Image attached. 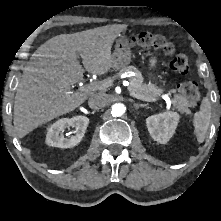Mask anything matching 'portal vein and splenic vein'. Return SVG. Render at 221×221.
Here are the masks:
<instances>
[{
    "label": "portal vein and splenic vein",
    "instance_id": "obj_1",
    "mask_svg": "<svg viewBox=\"0 0 221 221\" xmlns=\"http://www.w3.org/2000/svg\"><path fill=\"white\" fill-rule=\"evenodd\" d=\"M102 87H103L102 84L97 83V82H93V83H90V84L81 86V87L79 88V91H81V92H90V91L99 90V89H101ZM130 94H131L132 96L138 98L135 93H131V92H130ZM138 99H141V100H144V101H151V102L157 101V100H159V99H163V100L166 101L167 104L173 103V101L171 102V99H170V97H169L167 94H163V95H161V96H159V97H157V98H138Z\"/></svg>",
    "mask_w": 221,
    "mask_h": 221
}]
</instances>
